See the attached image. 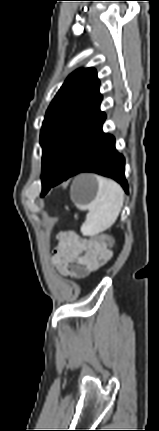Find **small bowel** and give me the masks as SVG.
<instances>
[{
	"label": "small bowel",
	"instance_id": "1",
	"mask_svg": "<svg viewBox=\"0 0 159 431\" xmlns=\"http://www.w3.org/2000/svg\"><path fill=\"white\" fill-rule=\"evenodd\" d=\"M111 255L107 240L83 239L65 230L57 235L53 263L64 276L83 279L101 268Z\"/></svg>",
	"mask_w": 159,
	"mask_h": 431
}]
</instances>
